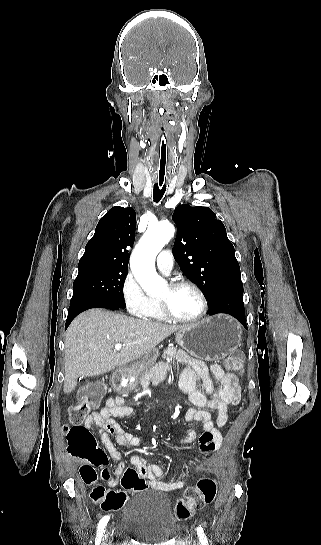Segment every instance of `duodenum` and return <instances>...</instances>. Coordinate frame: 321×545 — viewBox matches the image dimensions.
<instances>
[{
	"instance_id": "410a0bca",
	"label": "duodenum",
	"mask_w": 321,
	"mask_h": 545,
	"mask_svg": "<svg viewBox=\"0 0 321 545\" xmlns=\"http://www.w3.org/2000/svg\"><path fill=\"white\" fill-rule=\"evenodd\" d=\"M123 377H124V373H123V372H121V371L116 372V373L113 375V378H112L113 383H114L115 385L119 384Z\"/></svg>"
}]
</instances>
